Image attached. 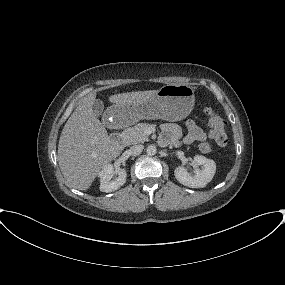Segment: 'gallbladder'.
Wrapping results in <instances>:
<instances>
[{"label": "gallbladder", "instance_id": "1", "mask_svg": "<svg viewBox=\"0 0 285 285\" xmlns=\"http://www.w3.org/2000/svg\"><path fill=\"white\" fill-rule=\"evenodd\" d=\"M92 110L95 116H100L104 110V104L100 99H96L92 104Z\"/></svg>", "mask_w": 285, "mask_h": 285}]
</instances>
